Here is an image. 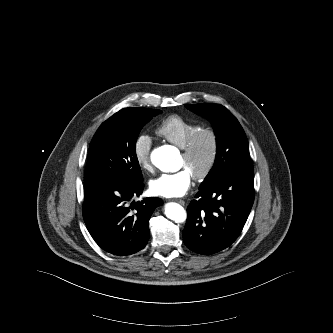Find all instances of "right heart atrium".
I'll use <instances>...</instances> for the list:
<instances>
[{
  "label": "right heart atrium",
  "instance_id": "1",
  "mask_svg": "<svg viewBox=\"0 0 333 333\" xmlns=\"http://www.w3.org/2000/svg\"><path fill=\"white\" fill-rule=\"evenodd\" d=\"M151 147L152 140L147 134H140L133 143V154L137 164L143 170L151 168Z\"/></svg>",
  "mask_w": 333,
  "mask_h": 333
}]
</instances>
